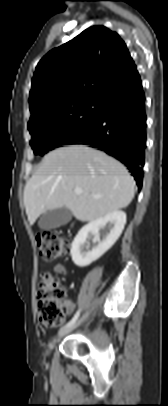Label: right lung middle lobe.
I'll return each instance as SVG.
<instances>
[{"mask_svg":"<svg viewBox=\"0 0 168 406\" xmlns=\"http://www.w3.org/2000/svg\"><path fill=\"white\" fill-rule=\"evenodd\" d=\"M99 110V99H89L29 123L30 145L34 154L44 155L79 136L94 123Z\"/></svg>","mask_w":168,"mask_h":406,"instance_id":"dd1d6c3e","label":"right lung middle lobe"}]
</instances>
